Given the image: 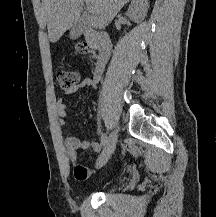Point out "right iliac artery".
I'll return each mask as SVG.
<instances>
[{
    "label": "right iliac artery",
    "mask_w": 216,
    "mask_h": 217,
    "mask_svg": "<svg viewBox=\"0 0 216 217\" xmlns=\"http://www.w3.org/2000/svg\"><path fill=\"white\" fill-rule=\"evenodd\" d=\"M107 140H108L107 135L105 133L102 134V136H101V146H105V144L107 143Z\"/></svg>",
    "instance_id": "obj_1"
}]
</instances>
